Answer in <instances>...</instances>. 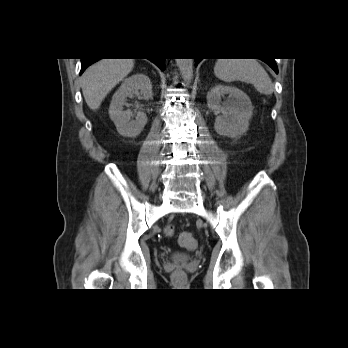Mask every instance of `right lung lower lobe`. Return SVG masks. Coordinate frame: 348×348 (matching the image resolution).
<instances>
[{
	"label": "right lung lower lobe",
	"instance_id": "1",
	"mask_svg": "<svg viewBox=\"0 0 348 348\" xmlns=\"http://www.w3.org/2000/svg\"><path fill=\"white\" fill-rule=\"evenodd\" d=\"M99 59H92V58H85V59H81V71H80V75L85 71V69L93 64L94 62H96ZM153 63H155L161 70H164V59H150Z\"/></svg>",
	"mask_w": 348,
	"mask_h": 348
}]
</instances>
